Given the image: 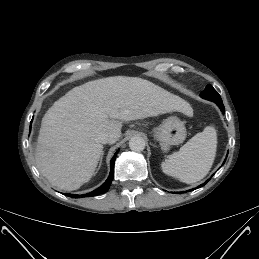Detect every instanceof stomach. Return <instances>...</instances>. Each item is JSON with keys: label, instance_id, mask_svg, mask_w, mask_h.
Returning <instances> with one entry per match:
<instances>
[{"label": "stomach", "instance_id": "1", "mask_svg": "<svg viewBox=\"0 0 259 259\" xmlns=\"http://www.w3.org/2000/svg\"><path fill=\"white\" fill-rule=\"evenodd\" d=\"M187 135L184 123L177 116H170L153 130V137L164 152L172 145L182 143Z\"/></svg>", "mask_w": 259, "mask_h": 259}]
</instances>
